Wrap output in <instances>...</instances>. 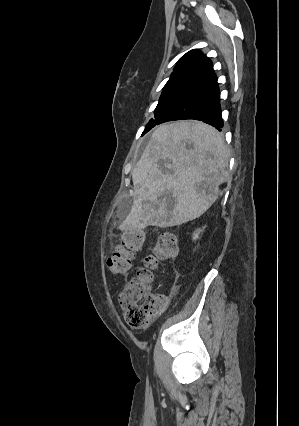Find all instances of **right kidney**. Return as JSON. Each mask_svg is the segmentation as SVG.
I'll return each instance as SVG.
<instances>
[{"label":"right kidney","instance_id":"right-kidney-1","mask_svg":"<svg viewBox=\"0 0 299 426\" xmlns=\"http://www.w3.org/2000/svg\"><path fill=\"white\" fill-rule=\"evenodd\" d=\"M205 228V227H204ZM203 228V229H204ZM202 230L201 229H199V230H197L195 233H194V235H193V240H196V239H198L199 238V233L201 232Z\"/></svg>","mask_w":299,"mask_h":426}]
</instances>
